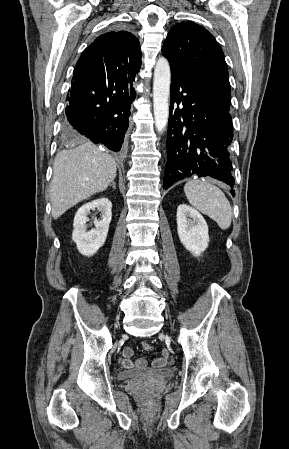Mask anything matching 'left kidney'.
<instances>
[{"label":"left kidney","instance_id":"1","mask_svg":"<svg viewBox=\"0 0 289 449\" xmlns=\"http://www.w3.org/2000/svg\"><path fill=\"white\" fill-rule=\"evenodd\" d=\"M177 231L183 246L195 257L200 256L208 247L209 235L205 219L186 204L177 208Z\"/></svg>","mask_w":289,"mask_h":449}]
</instances>
